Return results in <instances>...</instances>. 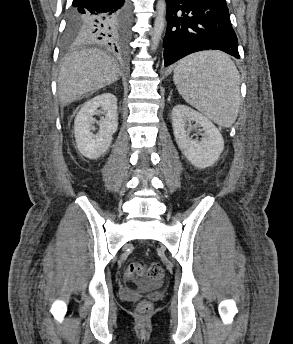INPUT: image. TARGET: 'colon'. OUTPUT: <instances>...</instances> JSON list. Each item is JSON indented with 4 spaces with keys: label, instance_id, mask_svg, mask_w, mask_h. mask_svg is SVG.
<instances>
[{
    "label": "colon",
    "instance_id": "colon-1",
    "mask_svg": "<svg viewBox=\"0 0 293 344\" xmlns=\"http://www.w3.org/2000/svg\"><path fill=\"white\" fill-rule=\"evenodd\" d=\"M127 275L139 277V278H145L150 281H158L160 280L164 275V269L160 262H152L149 265L145 266L140 263H131L126 273ZM152 310V304L149 301H141L137 305V312L141 316H145L149 314Z\"/></svg>",
    "mask_w": 293,
    "mask_h": 344
}]
</instances>
